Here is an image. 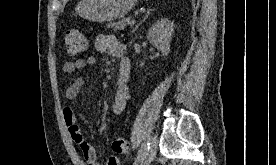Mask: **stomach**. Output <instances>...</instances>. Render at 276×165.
<instances>
[{
  "mask_svg": "<svg viewBox=\"0 0 276 165\" xmlns=\"http://www.w3.org/2000/svg\"><path fill=\"white\" fill-rule=\"evenodd\" d=\"M136 0H81L75 13L89 21L106 22L124 17Z\"/></svg>",
  "mask_w": 276,
  "mask_h": 165,
  "instance_id": "obj_1",
  "label": "stomach"
}]
</instances>
